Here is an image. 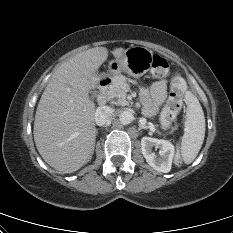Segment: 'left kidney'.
<instances>
[{"instance_id":"obj_1","label":"left kidney","mask_w":233,"mask_h":233,"mask_svg":"<svg viewBox=\"0 0 233 233\" xmlns=\"http://www.w3.org/2000/svg\"><path fill=\"white\" fill-rule=\"evenodd\" d=\"M153 147L159 149V155L153 151ZM141 150L146 162L156 171L168 173L171 170L175 148L171 142L164 139L143 137Z\"/></svg>"}]
</instances>
